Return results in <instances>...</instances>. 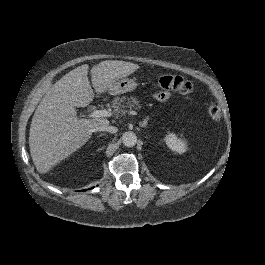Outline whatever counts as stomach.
Segmentation results:
<instances>
[{"mask_svg":"<svg viewBox=\"0 0 265 265\" xmlns=\"http://www.w3.org/2000/svg\"><path fill=\"white\" fill-rule=\"evenodd\" d=\"M136 87V83L132 79L124 78L114 83H111L107 88L109 95H118L127 91H131Z\"/></svg>","mask_w":265,"mask_h":265,"instance_id":"1","label":"stomach"}]
</instances>
